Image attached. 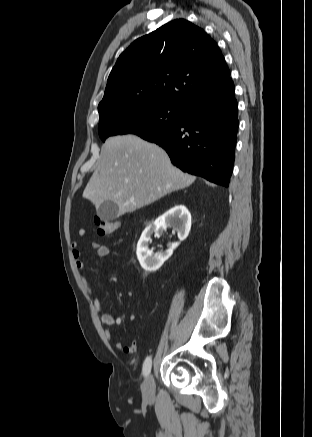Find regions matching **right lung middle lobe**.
<instances>
[{"instance_id": "obj_1", "label": "right lung middle lobe", "mask_w": 312, "mask_h": 437, "mask_svg": "<svg viewBox=\"0 0 312 437\" xmlns=\"http://www.w3.org/2000/svg\"><path fill=\"white\" fill-rule=\"evenodd\" d=\"M184 108L167 103H134L116 108L100 117L98 132L109 136L136 134L142 138L160 134L180 122Z\"/></svg>"}]
</instances>
